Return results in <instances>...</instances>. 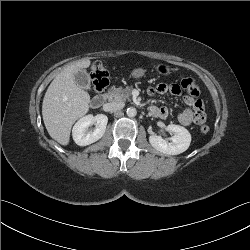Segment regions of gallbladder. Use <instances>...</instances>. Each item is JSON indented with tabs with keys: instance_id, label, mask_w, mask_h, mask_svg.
Returning a JSON list of instances; mask_svg holds the SVG:
<instances>
[{
	"instance_id": "gallbladder-1",
	"label": "gallbladder",
	"mask_w": 250,
	"mask_h": 250,
	"mask_svg": "<svg viewBox=\"0 0 250 250\" xmlns=\"http://www.w3.org/2000/svg\"><path fill=\"white\" fill-rule=\"evenodd\" d=\"M75 82L83 89H90V76L85 70H78L75 73Z\"/></svg>"
}]
</instances>
